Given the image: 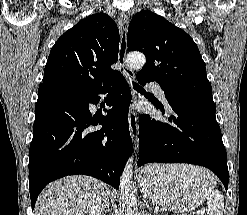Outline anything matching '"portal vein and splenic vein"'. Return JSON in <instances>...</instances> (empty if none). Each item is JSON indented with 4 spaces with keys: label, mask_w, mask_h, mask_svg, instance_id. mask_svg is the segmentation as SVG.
<instances>
[{
    "label": "portal vein and splenic vein",
    "mask_w": 247,
    "mask_h": 215,
    "mask_svg": "<svg viewBox=\"0 0 247 215\" xmlns=\"http://www.w3.org/2000/svg\"><path fill=\"white\" fill-rule=\"evenodd\" d=\"M201 213H205V210L201 211Z\"/></svg>",
    "instance_id": "portal-vein-and-splenic-vein-1"
}]
</instances>
